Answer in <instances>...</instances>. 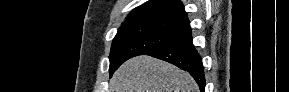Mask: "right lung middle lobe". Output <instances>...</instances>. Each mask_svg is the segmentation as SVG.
<instances>
[{"label": "right lung middle lobe", "instance_id": "dd1d6c3e", "mask_svg": "<svg viewBox=\"0 0 289 92\" xmlns=\"http://www.w3.org/2000/svg\"><path fill=\"white\" fill-rule=\"evenodd\" d=\"M190 26L151 19L126 20L113 39L110 75L126 60L174 43L190 32Z\"/></svg>", "mask_w": 289, "mask_h": 92}]
</instances>
